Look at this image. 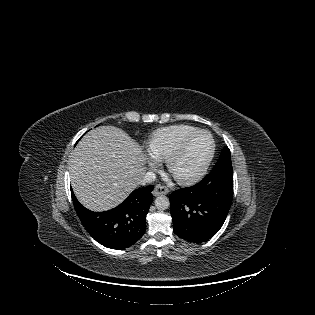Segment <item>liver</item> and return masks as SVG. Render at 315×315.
Wrapping results in <instances>:
<instances>
[{
    "instance_id": "liver-1",
    "label": "liver",
    "mask_w": 315,
    "mask_h": 315,
    "mask_svg": "<svg viewBox=\"0 0 315 315\" xmlns=\"http://www.w3.org/2000/svg\"><path fill=\"white\" fill-rule=\"evenodd\" d=\"M144 164L141 147L127 133L114 126H100L89 131L71 155V185L86 208L109 210L141 184Z\"/></svg>"
}]
</instances>
